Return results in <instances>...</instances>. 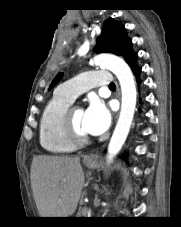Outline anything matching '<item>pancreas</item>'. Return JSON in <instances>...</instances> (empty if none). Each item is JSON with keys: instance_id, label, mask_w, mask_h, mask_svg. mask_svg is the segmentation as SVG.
<instances>
[{"instance_id": "pancreas-1", "label": "pancreas", "mask_w": 181, "mask_h": 227, "mask_svg": "<svg viewBox=\"0 0 181 227\" xmlns=\"http://www.w3.org/2000/svg\"><path fill=\"white\" fill-rule=\"evenodd\" d=\"M87 210L85 208H82L78 211V217H82L83 214H85Z\"/></svg>"}]
</instances>
